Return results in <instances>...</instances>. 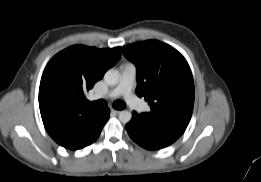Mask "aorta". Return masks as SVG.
<instances>
[{
    "label": "aorta",
    "mask_w": 261,
    "mask_h": 182,
    "mask_svg": "<svg viewBox=\"0 0 261 182\" xmlns=\"http://www.w3.org/2000/svg\"><path fill=\"white\" fill-rule=\"evenodd\" d=\"M104 80L108 85H117L120 80L119 71L115 69H109L104 75ZM131 118L132 114L129 111L123 110L119 113V120L123 124L130 122Z\"/></svg>",
    "instance_id": "aorta-1"
}]
</instances>
